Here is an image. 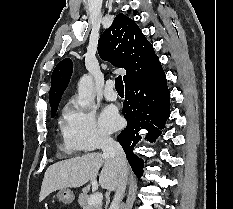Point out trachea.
I'll return each mask as SVG.
<instances>
[{
	"instance_id": "1",
	"label": "trachea",
	"mask_w": 233,
	"mask_h": 209,
	"mask_svg": "<svg viewBox=\"0 0 233 209\" xmlns=\"http://www.w3.org/2000/svg\"><path fill=\"white\" fill-rule=\"evenodd\" d=\"M115 88H116L117 91L118 90H124L122 77L120 75L115 79Z\"/></svg>"
}]
</instances>
